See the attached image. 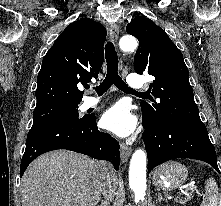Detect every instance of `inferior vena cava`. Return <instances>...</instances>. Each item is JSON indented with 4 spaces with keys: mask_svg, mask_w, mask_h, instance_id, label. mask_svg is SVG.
<instances>
[{
    "mask_svg": "<svg viewBox=\"0 0 221 206\" xmlns=\"http://www.w3.org/2000/svg\"><path fill=\"white\" fill-rule=\"evenodd\" d=\"M104 176L101 184V192L105 201H111L115 195L118 181L115 171L111 165L104 164Z\"/></svg>",
    "mask_w": 221,
    "mask_h": 206,
    "instance_id": "1",
    "label": "inferior vena cava"
}]
</instances>
